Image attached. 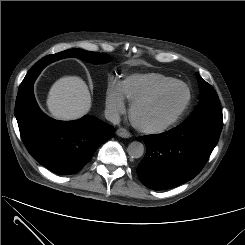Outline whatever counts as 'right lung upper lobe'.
I'll return each mask as SVG.
<instances>
[{"label": "right lung upper lobe", "mask_w": 245, "mask_h": 245, "mask_svg": "<svg viewBox=\"0 0 245 245\" xmlns=\"http://www.w3.org/2000/svg\"><path fill=\"white\" fill-rule=\"evenodd\" d=\"M51 58L49 56H46L44 58H42L41 60H39V66L40 67H36V66H33L29 72L27 73V75L25 76L24 78V82L26 83L27 85V88L29 86H31L35 79L37 78V76L39 75V73L41 72V70L46 66L48 65L49 63L53 62V61H50ZM23 82V81H22ZM20 88V87H19ZM19 91V90H18Z\"/></svg>", "instance_id": "obj_1"}]
</instances>
